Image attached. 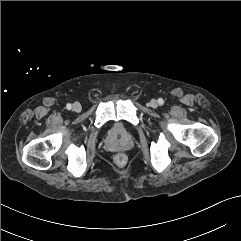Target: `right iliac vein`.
<instances>
[{"label":"right iliac vein","instance_id":"1","mask_svg":"<svg viewBox=\"0 0 241 241\" xmlns=\"http://www.w3.org/2000/svg\"><path fill=\"white\" fill-rule=\"evenodd\" d=\"M74 112L79 113L82 110V106L79 102H75L72 106Z\"/></svg>","mask_w":241,"mask_h":241}]
</instances>
